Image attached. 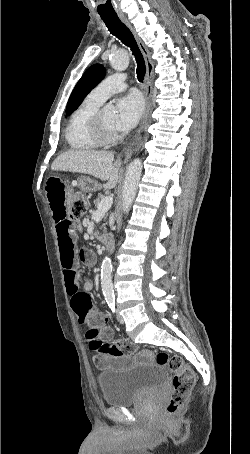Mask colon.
<instances>
[{
    "mask_svg": "<svg viewBox=\"0 0 250 454\" xmlns=\"http://www.w3.org/2000/svg\"><path fill=\"white\" fill-rule=\"evenodd\" d=\"M89 211L87 197L76 192L72 199L71 218L80 219ZM85 324L89 326L86 338L89 348L99 354L122 357L139 354L147 356L148 351L138 352L137 346L129 340L120 339L111 341L112 329L107 326V317L92 316ZM158 365L166 366L173 375V391L166 406V414L169 417L176 415L188 401L195 385V374L181 357L170 355L166 352H158L155 356Z\"/></svg>",
    "mask_w": 250,
    "mask_h": 454,
    "instance_id": "1",
    "label": "colon"
}]
</instances>
